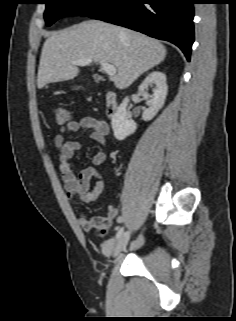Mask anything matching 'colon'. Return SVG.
<instances>
[{
    "label": "colon",
    "instance_id": "obj_1",
    "mask_svg": "<svg viewBox=\"0 0 236 321\" xmlns=\"http://www.w3.org/2000/svg\"><path fill=\"white\" fill-rule=\"evenodd\" d=\"M54 115H55V123L58 126H63L65 124H67L70 120L69 111L62 106H57L54 108ZM105 227H107V226L101 227L100 233H104Z\"/></svg>",
    "mask_w": 236,
    "mask_h": 321
}]
</instances>
